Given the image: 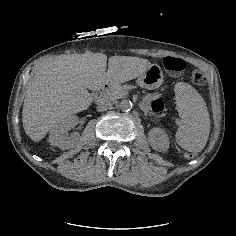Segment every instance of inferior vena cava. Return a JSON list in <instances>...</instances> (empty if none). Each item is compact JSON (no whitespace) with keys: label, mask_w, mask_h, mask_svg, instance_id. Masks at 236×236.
Wrapping results in <instances>:
<instances>
[{"label":"inferior vena cava","mask_w":236,"mask_h":236,"mask_svg":"<svg viewBox=\"0 0 236 236\" xmlns=\"http://www.w3.org/2000/svg\"><path fill=\"white\" fill-rule=\"evenodd\" d=\"M111 106H112V103L101 101V102H98L96 109L98 112H103V111L108 110Z\"/></svg>","instance_id":"inferior-vena-cava-1"}]
</instances>
